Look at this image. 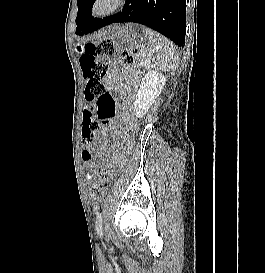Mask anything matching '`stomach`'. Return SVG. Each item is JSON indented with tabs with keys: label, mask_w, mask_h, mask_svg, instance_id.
<instances>
[{
	"label": "stomach",
	"mask_w": 265,
	"mask_h": 273,
	"mask_svg": "<svg viewBox=\"0 0 265 273\" xmlns=\"http://www.w3.org/2000/svg\"><path fill=\"white\" fill-rule=\"evenodd\" d=\"M104 35H116V40L129 42L132 39L140 41V35H149V30H146V25H107V30L103 31Z\"/></svg>",
	"instance_id": "stomach-1"
}]
</instances>
